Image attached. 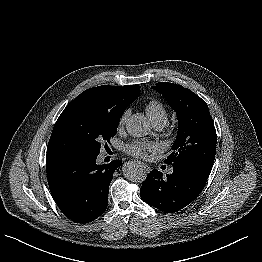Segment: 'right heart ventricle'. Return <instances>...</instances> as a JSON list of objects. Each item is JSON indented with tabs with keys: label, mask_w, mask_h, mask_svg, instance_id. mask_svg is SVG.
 <instances>
[{
	"label": "right heart ventricle",
	"mask_w": 262,
	"mask_h": 262,
	"mask_svg": "<svg viewBox=\"0 0 262 262\" xmlns=\"http://www.w3.org/2000/svg\"><path fill=\"white\" fill-rule=\"evenodd\" d=\"M146 114L150 119L151 123H161L164 126L168 122V113L165 107L156 100L150 101L145 107Z\"/></svg>",
	"instance_id": "1"
}]
</instances>
